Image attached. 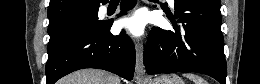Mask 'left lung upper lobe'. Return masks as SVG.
I'll return each mask as SVG.
<instances>
[{"instance_id": "left-lung-upper-lobe-1", "label": "left lung upper lobe", "mask_w": 260, "mask_h": 84, "mask_svg": "<svg viewBox=\"0 0 260 84\" xmlns=\"http://www.w3.org/2000/svg\"><path fill=\"white\" fill-rule=\"evenodd\" d=\"M210 1L220 3V0H210Z\"/></svg>"}]
</instances>
